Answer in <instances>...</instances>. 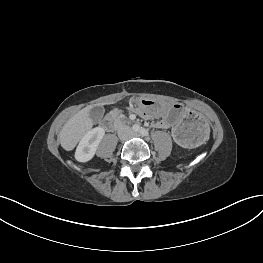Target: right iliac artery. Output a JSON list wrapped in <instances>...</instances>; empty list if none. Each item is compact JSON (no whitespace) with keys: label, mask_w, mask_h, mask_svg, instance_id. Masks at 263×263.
<instances>
[{"label":"right iliac artery","mask_w":263,"mask_h":263,"mask_svg":"<svg viewBox=\"0 0 263 263\" xmlns=\"http://www.w3.org/2000/svg\"><path fill=\"white\" fill-rule=\"evenodd\" d=\"M139 129H140V127H139V126H137V127H136V131H138Z\"/></svg>","instance_id":"1"}]
</instances>
